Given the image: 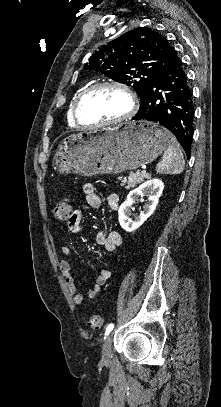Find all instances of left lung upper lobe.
Masks as SVG:
<instances>
[{"label": "left lung upper lobe", "mask_w": 221, "mask_h": 407, "mask_svg": "<svg viewBox=\"0 0 221 407\" xmlns=\"http://www.w3.org/2000/svg\"><path fill=\"white\" fill-rule=\"evenodd\" d=\"M173 50L164 36L139 27L98 48L84 68L133 87L141 98Z\"/></svg>", "instance_id": "1"}]
</instances>
